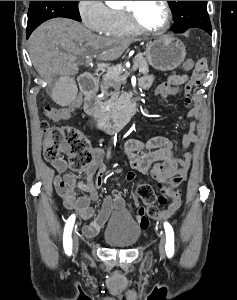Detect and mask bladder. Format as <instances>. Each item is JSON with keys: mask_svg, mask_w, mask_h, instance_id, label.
Returning a JSON list of instances; mask_svg holds the SVG:
<instances>
[{"mask_svg": "<svg viewBox=\"0 0 237 300\" xmlns=\"http://www.w3.org/2000/svg\"><path fill=\"white\" fill-rule=\"evenodd\" d=\"M138 222L128 212L115 214L103 231L104 242L116 248H129L137 244L141 237Z\"/></svg>", "mask_w": 237, "mask_h": 300, "instance_id": "1", "label": "bladder"}]
</instances>
